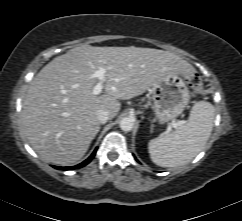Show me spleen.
Returning <instances> with one entry per match:
<instances>
[{
  "instance_id": "obj_1",
  "label": "spleen",
  "mask_w": 242,
  "mask_h": 221,
  "mask_svg": "<svg viewBox=\"0 0 242 221\" xmlns=\"http://www.w3.org/2000/svg\"><path fill=\"white\" fill-rule=\"evenodd\" d=\"M215 107L206 101L196 102L187 122L171 134L150 140L148 150L153 163L176 167L193 159L208 141L214 122Z\"/></svg>"
}]
</instances>
